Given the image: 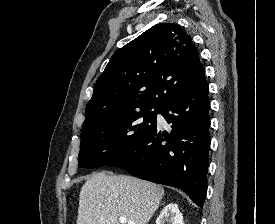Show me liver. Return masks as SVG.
<instances>
[{"instance_id": "1", "label": "liver", "mask_w": 275, "mask_h": 224, "mask_svg": "<svg viewBox=\"0 0 275 224\" xmlns=\"http://www.w3.org/2000/svg\"><path fill=\"white\" fill-rule=\"evenodd\" d=\"M163 196L164 189L154 183L126 175L96 173L81 188L76 223L120 224L119 217H126L128 222L147 224Z\"/></svg>"}]
</instances>
